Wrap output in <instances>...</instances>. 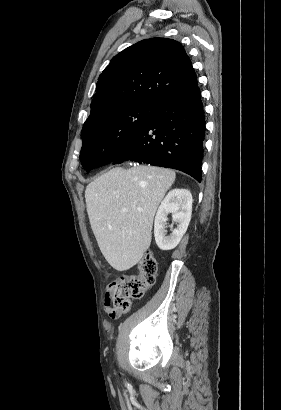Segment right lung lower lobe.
I'll return each instance as SVG.
<instances>
[{
	"mask_svg": "<svg viewBox=\"0 0 281 410\" xmlns=\"http://www.w3.org/2000/svg\"><path fill=\"white\" fill-rule=\"evenodd\" d=\"M204 136L205 114L197 86L159 104L147 126L112 163L173 168L201 182Z\"/></svg>",
	"mask_w": 281,
	"mask_h": 410,
	"instance_id": "right-lung-lower-lobe-1",
	"label": "right lung lower lobe"
}]
</instances>
